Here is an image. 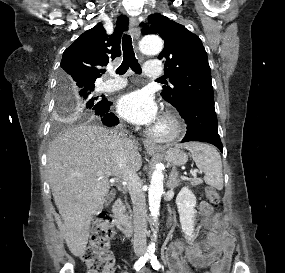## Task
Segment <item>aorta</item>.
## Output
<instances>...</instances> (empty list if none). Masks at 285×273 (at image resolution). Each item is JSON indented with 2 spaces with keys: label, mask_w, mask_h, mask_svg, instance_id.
Returning a JSON list of instances; mask_svg holds the SVG:
<instances>
[{
  "label": "aorta",
  "mask_w": 285,
  "mask_h": 273,
  "mask_svg": "<svg viewBox=\"0 0 285 273\" xmlns=\"http://www.w3.org/2000/svg\"><path fill=\"white\" fill-rule=\"evenodd\" d=\"M162 48V40L157 36H146L140 42V50L146 55H156L161 52ZM163 181V168L161 164H158L152 173L148 190L149 209L155 222L159 216L161 196L163 194ZM147 251L149 254H153L155 244L151 243Z\"/></svg>",
  "instance_id": "1"
}]
</instances>
